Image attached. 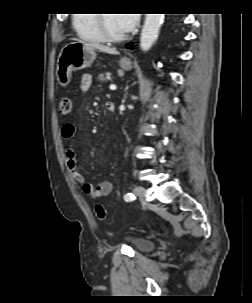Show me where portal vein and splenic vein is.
I'll use <instances>...</instances> for the list:
<instances>
[{"label": "portal vein and splenic vein", "instance_id": "1", "mask_svg": "<svg viewBox=\"0 0 252 303\" xmlns=\"http://www.w3.org/2000/svg\"><path fill=\"white\" fill-rule=\"evenodd\" d=\"M109 88H110V90H116V85L115 84H111L110 86H109Z\"/></svg>", "mask_w": 252, "mask_h": 303}]
</instances>
